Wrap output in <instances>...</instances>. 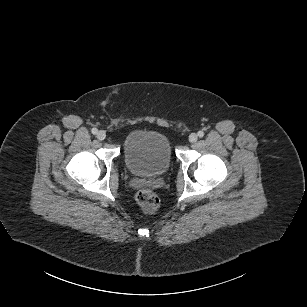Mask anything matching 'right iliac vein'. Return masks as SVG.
Returning a JSON list of instances; mask_svg holds the SVG:
<instances>
[{
	"label": "right iliac vein",
	"mask_w": 307,
	"mask_h": 307,
	"mask_svg": "<svg viewBox=\"0 0 307 307\" xmlns=\"http://www.w3.org/2000/svg\"><path fill=\"white\" fill-rule=\"evenodd\" d=\"M97 138L99 139V140H104L105 138H106V133L104 132V131H102V130H100L98 133H97Z\"/></svg>",
	"instance_id": "obj_1"
}]
</instances>
